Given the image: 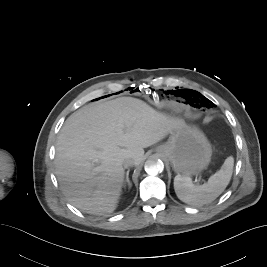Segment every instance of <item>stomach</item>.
<instances>
[{
  "label": "stomach",
  "mask_w": 267,
  "mask_h": 267,
  "mask_svg": "<svg viewBox=\"0 0 267 267\" xmlns=\"http://www.w3.org/2000/svg\"><path fill=\"white\" fill-rule=\"evenodd\" d=\"M175 172L184 176L196 175L205 170L212 156L211 145L196 127L188 125L170 132L166 143L158 148Z\"/></svg>",
  "instance_id": "stomach-1"
}]
</instances>
